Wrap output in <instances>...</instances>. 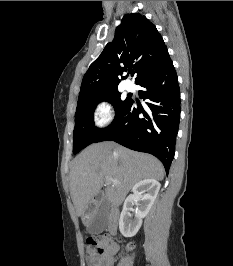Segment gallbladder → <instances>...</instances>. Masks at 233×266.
<instances>
[{"label": "gallbladder", "instance_id": "1", "mask_svg": "<svg viewBox=\"0 0 233 266\" xmlns=\"http://www.w3.org/2000/svg\"><path fill=\"white\" fill-rule=\"evenodd\" d=\"M108 225V210L106 203L101 204L97 213L90 220L89 225H87V231L91 234L102 233Z\"/></svg>", "mask_w": 233, "mask_h": 266}]
</instances>
